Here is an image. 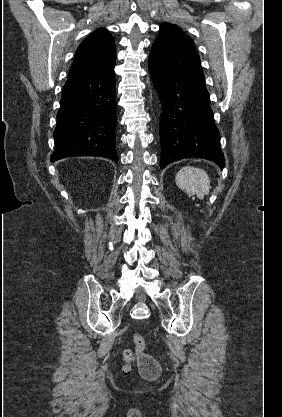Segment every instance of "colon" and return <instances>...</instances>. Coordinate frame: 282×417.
<instances>
[{"label": "colon", "instance_id": "obj_1", "mask_svg": "<svg viewBox=\"0 0 282 417\" xmlns=\"http://www.w3.org/2000/svg\"><path fill=\"white\" fill-rule=\"evenodd\" d=\"M133 344L134 347L137 348V351L140 352V350H143V353H140L142 355V358L138 359V372L145 380H154L158 378V376L161 373V365L160 363L154 358H148V353L146 352L147 343L142 335L136 333L133 335ZM123 358L124 360L131 362L132 358V350L126 349L123 352ZM123 370L125 372H129L131 370L130 365H125L123 367Z\"/></svg>", "mask_w": 282, "mask_h": 417}]
</instances>
